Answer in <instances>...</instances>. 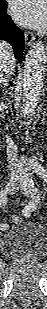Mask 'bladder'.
<instances>
[{"label":"bladder","instance_id":"bladder-1","mask_svg":"<svg viewBox=\"0 0 47 309\" xmlns=\"http://www.w3.org/2000/svg\"><path fill=\"white\" fill-rule=\"evenodd\" d=\"M46 228L20 219L1 238L0 249L8 257L41 256L46 250Z\"/></svg>","mask_w":47,"mask_h":309}]
</instances>
